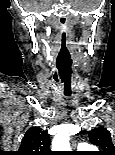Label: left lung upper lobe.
<instances>
[{
	"label": "left lung upper lobe",
	"instance_id": "1",
	"mask_svg": "<svg viewBox=\"0 0 115 155\" xmlns=\"http://www.w3.org/2000/svg\"><path fill=\"white\" fill-rule=\"evenodd\" d=\"M88 134L91 143L101 149L98 155H115V147L111 141V134L106 128H94Z\"/></svg>",
	"mask_w": 115,
	"mask_h": 155
}]
</instances>
